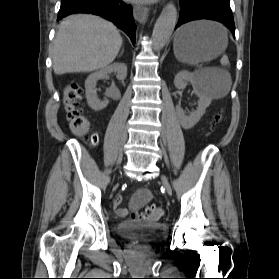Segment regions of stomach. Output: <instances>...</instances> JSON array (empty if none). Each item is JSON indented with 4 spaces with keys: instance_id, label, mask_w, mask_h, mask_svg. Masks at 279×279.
Instances as JSON below:
<instances>
[{
    "instance_id": "1",
    "label": "stomach",
    "mask_w": 279,
    "mask_h": 279,
    "mask_svg": "<svg viewBox=\"0 0 279 279\" xmlns=\"http://www.w3.org/2000/svg\"><path fill=\"white\" fill-rule=\"evenodd\" d=\"M227 43V33L222 26L209 21H195L177 31L173 49L180 62L197 64L217 57Z\"/></svg>"
}]
</instances>
